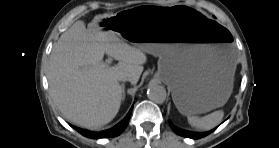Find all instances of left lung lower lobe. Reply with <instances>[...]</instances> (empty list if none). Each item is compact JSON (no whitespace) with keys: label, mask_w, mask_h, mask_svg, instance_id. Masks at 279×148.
<instances>
[{"label":"left lung lower lobe","mask_w":279,"mask_h":148,"mask_svg":"<svg viewBox=\"0 0 279 148\" xmlns=\"http://www.w3.org/2000/svg\"><path fill=\"white\" fill-rule=\"evenodd\" d=\"M171 128L178 135L183 136V137H187V138H192V139L202 138V137L210 134L211 132H213L215 130V129H213L211 131L204 132V133H192V132L184 131V130H181V129H177V128L173 127V126H171Z\"/></svg>","instance_id":"0a47b994"}]
</instances>
